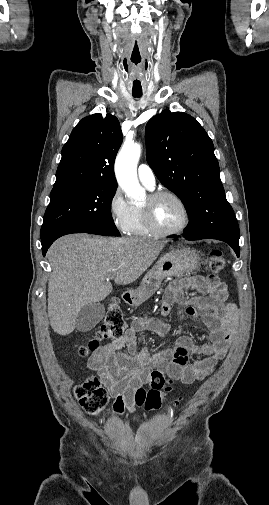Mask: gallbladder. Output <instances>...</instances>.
<instances>
[{
	"label": "gallbladder",
	"instance_id": "gallbladder-1",
	"mask_svg": "<svg viewBox=\"0 0 269 505\" xmlns=\"http://www.w3.org/2000/svg\"><path fill=\"white\" fill-rule=\"evenodd\" d=\"M105 307L100 302L88 303L81 308L76 318V329L80 332L92 330L104 317Z\"/></svg>",
	"mask_w": 269,
	"mask_h": 505
}]
</instances>
